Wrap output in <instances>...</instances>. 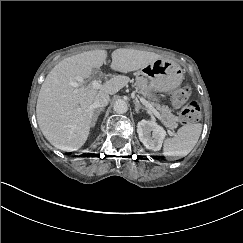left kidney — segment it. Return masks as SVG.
Segmentation results:
<instances>
[{
	"label": "left kidney",
	"mask_w": 243,
	"mask_h": 243,
	"mask_svg": "<svg viewBox=\"0 0 243 243\" xmlns=\"http://www.w3.org/2000/svg\"><path fill=\"white\" fill-rule=\"evenodd\" d=\"M137 133L143 145L150 150H160L165 138V130L153 121L142 120L138 123Z\"/></svg>",
	"instance_id": "left-kidney-1"
}]
</instances>
